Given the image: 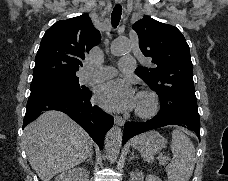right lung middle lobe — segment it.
<instances>
[{
	"instance_id": "obj_1",
	"label": "right lung middle lobe",
	"mask_w": 228,
	"mask_h": 181,
	"mask_svg": "<svg viewBox=\"0 0 228 181\" xmlns=\"http://www.w3.org/2000/svg\"><path fill=\"white\" fill-rule=\"evenodd\" d=\"M78 77L58 76L32 80L31 92L45 89H55L72 95L80 96L85 94L86 88L79 85Z\"/></svg>"
}]
</instances>
